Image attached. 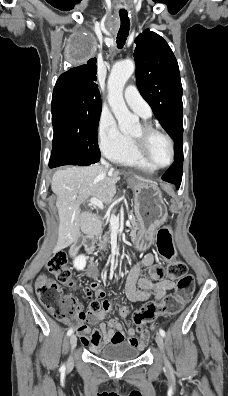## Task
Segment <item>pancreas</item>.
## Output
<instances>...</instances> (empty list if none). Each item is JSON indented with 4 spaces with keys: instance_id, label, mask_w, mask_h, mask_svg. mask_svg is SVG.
Returning <instances> with one entry per match:
<instances>
[{
    "instance_id": "cf45deb5",
    "label": "pancreas",
    "mask_w": 228,
    "mask_h": 396,
    "mask_svg": "<svg viewBox=\"0 0 228 396\" xmlns=\"http://www.w3.org/2000/svg\"><path fill=\"white\" fill-rule=\"evenodd\" d=\"M124 218H129L131 220L132 226H131V240H133V236L136 234V230H137V223H136V217L133 214H129V215H124ZM113 232L112 228L106 229L105 234L102 236V240L99 241V246L101 249H105L107 246V243L109 242L110 239V234Z\"/></svg>"
}]
</instances>
